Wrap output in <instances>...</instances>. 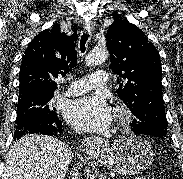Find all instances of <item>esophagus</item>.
<instances>
[{"label": "esophagus", "instance_id": "esophagus-1", "mask_svg": "<svg viewBox=\"0 0 183 179\" xmlns=\"http://www.w3.org/2000/svg\"><path fill=\"white\" fill-rule=\"evenodd\" d=\"M95 24L93 22H87L84 24V30L90 33L94 29ZM108 139L100 137H91L84 139L82 142L84 150L89 154H99L105 147L109 145Z\"/></svg>", "mask_w": 183, "mask_h": 179}]
</instances>
